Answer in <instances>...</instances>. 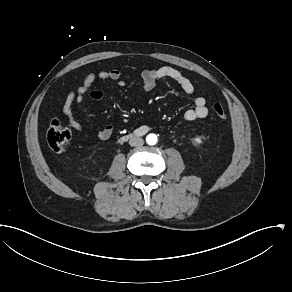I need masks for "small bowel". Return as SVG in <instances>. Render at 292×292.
<instances>
[{
	"instance_id": "obj_1",
	"label": "small bowel",
	"mask_w": 292,
	"mask_h": 292,
	"mask_svg": "<svg viewBox=\"0 0 292 292\" xmlns=\"http://www.w3.org/2000/svg\"><path fill=\"white\" fill-rule=\"evenodd\" d=\"M121 72L117 68L109 70H100L96 72H91L87 74L81 86L76 90H71L67 93L63 106L62 112L67 119L69 126L76 132L88 137L82 123L76 119L74 115V106L77 104L84 96L88 95L93 100H101L103 98V93L100 90H91L93 83L96 80H108L117 82L119 86H123L124 82L120 81ZM141 79L143 83V88L146 92L152 91L157 82L170 79L177 83L184 93L191 95L195 91V86L193 82L182 74L178 69L163 66L155 69H146L141 73ZM208 115V108L206 106V99L203 96H197L194 98L193 106L185 111L183 117L186 121H194L196 119L205 118ZM114 132V127L108 125L98 132V138L102 141L109 140Z\"/></svg>"
}]
</instances>
